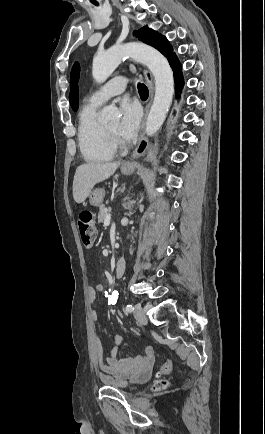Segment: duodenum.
Listing matches in <instances>:
<instances>
[{
  "instance_id": "duodenum-1",
  "label": "duodenum",
  "mask_w": 265,
  "mask_h": 434,
  "mask_svg": "<svg viewBox=\"0 0 265 434\" xmlns=\"http://www.w3.org/2000/svg\"><path fill=\"white\" fill-rule=\"evenodd\" d=\"M126 264H127V259L125 256H122L116 260L114 266V272H113V277L115 279H120L124 275Z\"/></svg>"
}]
</instances>
